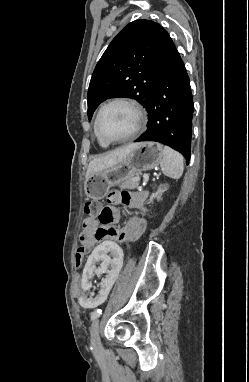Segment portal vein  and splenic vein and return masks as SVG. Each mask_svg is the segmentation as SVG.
Masks as SVG:
<instances>
[{"mask_svg": "<svg viewBox=\"0 0 249 382\" xmlns=\"http://www.w3.org/2000/svg\"><path fill=\"white\" fill-rule=\"evenodd\" d=\"M134 180H136V181H140V177H138V178H134Z\"/></svg>", "mask_w": 249, "mask_h": 382, "instance_id": "1", "label": "portal vein and splenic vein"}]
</instances>
